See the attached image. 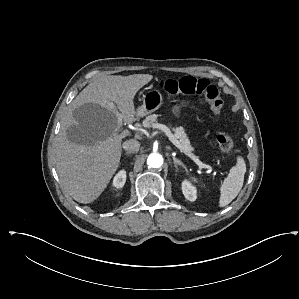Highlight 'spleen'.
Listing matches in <instances>:
<instances>
[{
    "instance_id": "3e777b00",
    "label": "spleen",
    "mask_w": 299,
    "mask_h": 299,
    "mask_svg": "<svg viewBox=\"0 0 299 299\" xmlns=\"http://www.w3.org/2000/svg\"><path fill=\"white\" fill-rule=\"evenodd\" d=\"M246 172V164L243 157H237V163L229 171L228 176L223 181L220 191L219 206L224 207L233 201L240 192L243 182L244 175ZM193 181H197L195 177L191 178Z\"/></svg>"
}]
</instances>
